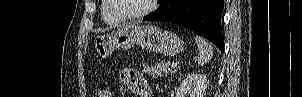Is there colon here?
<instances>
[{
    "label": "colon",
    "instance_id": "colon-1",
    "mask_svg": "<svg viewBox=\"0 0 302 97\" xmlns=\"http://www.w3.org/2000/svg\"><path fill=\"white\" fill-rule=\"evenodd\" d=\"M98 96H99V97H109L110 95H109V93L106 92V91H101V92L99 93Z\"/></svg>",
    "mask_w": 302,
    "mask_h": 97
}]
</instances>
